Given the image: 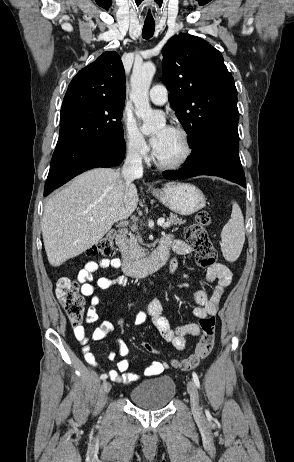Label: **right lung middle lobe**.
I'll return each mask as SVG.
<instances>
[{"label": "right lung middle lobe", "mask_w": 294, "mask_h": 462, "mask_svg": "<svg viewBox=\"0 0 294 462\" xmlns=\"http://www.w3.org/2000/svg\"><path fill=\"white\" fill-rule=\"evenodd\" d=\"M125 100L76 99L64 102L57 146L76 140L123 138Z\"/></svg>", "instance_id": "dd1d6c3e"}]
</instances>
